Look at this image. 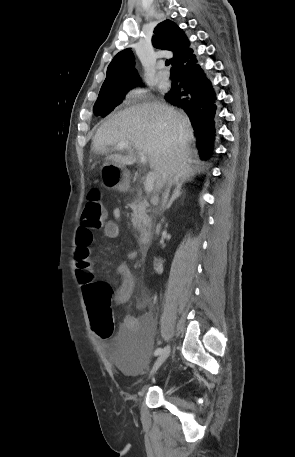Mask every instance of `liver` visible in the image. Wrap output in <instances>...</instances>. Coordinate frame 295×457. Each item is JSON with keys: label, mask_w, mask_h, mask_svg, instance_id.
Instances as JSON below:
<instances>
[{"label": "liver", "mask_w": 295, "mask_h": 457, "mask_svg": "<svg viewBox=\"0 0 295 457\" xmlns=\"http://www.w3.org/2000/svg\"><path fill=\"white\" fill-rule=\"evenodd\" d=\"M193 140L185 115L167 104L152 102L126 108L107 119L96 132L92 150L107 154L108 146L129 142L148 157L155 173V187L160 190L170 178L178 182L201 172L198 152L191 147ZM107 159L121 165L137 161L132 152L107 155Z\"/></svg>", "instance_id": "obj_1"}]
</instances>
